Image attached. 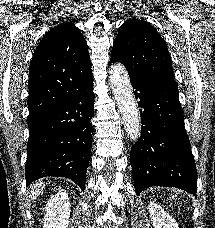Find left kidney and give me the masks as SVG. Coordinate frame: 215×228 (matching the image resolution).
I'll return each instance as SVG.
<instances>
[{
	"mask_svg": "<svg viewBox=\"0 0 215 228\" xmlns=\"http://www.w3.org/2000/svg\"><path fill=\"white\" fill-rule=\"evenodd\" d=\"M148 210L153 228H178L174 218H171L159 204L150 202Z\"/></svg>",
	"mask_w": 215,
	"mask_h": 228,
	"instance_id": "left-kidney-1",
	"label": "left kidney"
}]
</instances>
